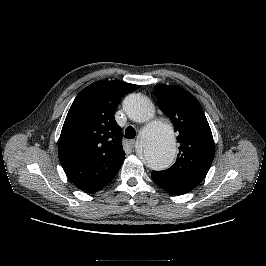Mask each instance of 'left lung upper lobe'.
<instances>
[{
  "label": "left lung upper lobe",
  "instance_id": "5c2ea615",
  "mask_svg": "<svg viewBox=\"0 0 266 266\" xmlns=\"http://www.w3.org/2000/svg\"><path fill=\"white\" fill-rule=\"evenodd\" d=\"M155 92L180 143L175 164L155 172L176 184L194 189L206 176L215 155L213 136L204 111L198 100L179 86L157 84Z\"/></svg>",
  "mask_w": 266,
  "mask_h": 266
}]
</instances>
